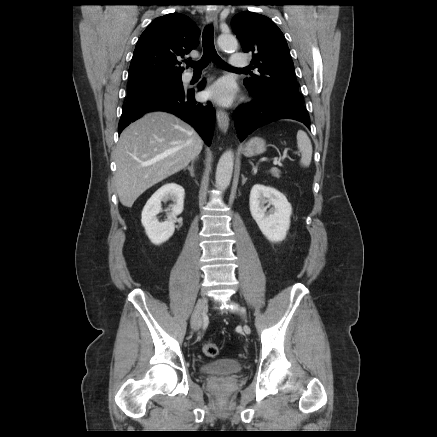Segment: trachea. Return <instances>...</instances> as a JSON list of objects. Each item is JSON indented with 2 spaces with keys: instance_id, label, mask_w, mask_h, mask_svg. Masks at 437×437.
Segmentation results:
<instances>
[{
  "instance_id": "3493384b",
  "label": "trachea",
  "mask_w": 437,
  "mask_h": 437,
  "mask_svg": "<svg viewBox=\"0 0 437 437\" xmlns=\"http://www.w3.org/2000/svg\"><path fill=\"white\" fill-rule=\"evenodd\" d=\"M214 31L213 26L208 25L203 32L202 35V46H203V56L199 61H188L187 65L192 67L194 71H201L205 67L208 66V64L212 61L217 66L223 68V69H229V70H241L245 71L246 68L242 69H234L230 67L227 63H225L217 54L214 46V39H213Z\"/></svg>"
}]
</instances>
